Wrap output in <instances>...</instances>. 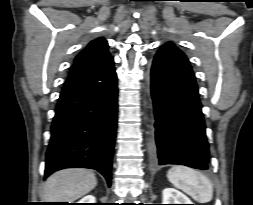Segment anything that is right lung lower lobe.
Segmentation results:
<instances>
[{"label": "right lung lower lobe", "instance_id": "right-lung-lower-lobe-1", "mask_svg": "<svg viewBox=\"0 0 253 205\" xmlns=\"http://www.w3.org/2000/svg\"><path fill=\"white\" fill-rule=\"evenodd\" d=\"M116 125L117 75L113 59L68 77L51 126L45 177L64 168H90L100 172L110 186Z\"/></svg>", "mask_w": 253, "mask_h": 205}]
</instances>
